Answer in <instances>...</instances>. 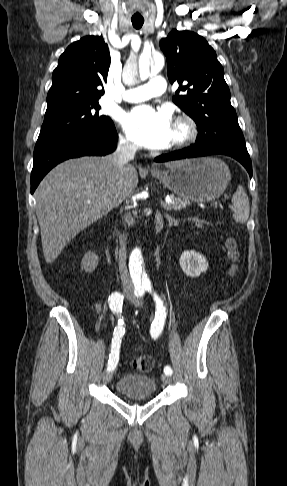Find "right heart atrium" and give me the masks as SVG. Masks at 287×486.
Here are the masks:
<instances>
[{
	"label": "right heart atrium",
	"mask_w": 287,
	"mask_h": 486,
	"mask_svg": "<svg viewBox=\"0 0 287 486\" xmlns=\"http://www.w3.org/2000/svg\"><path fill=\"white\" fill-rule=\"evenodd\" d=\"M119 140H120V143L123 147L127 148V149H132L134 148V144L124 135H121L119 137Z\"/></svg>",
	"instance_id": "1"
}]
</instances>
